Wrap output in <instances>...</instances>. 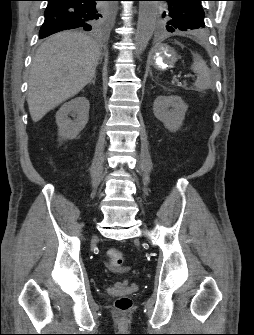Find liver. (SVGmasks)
<instances>
[{"instance_id":"1","label":"liver","mask_w":254,"mask_h":335,"mask_svg":"<svg viewBox=\"0 0 254 335\" xmlns=\"http://www.w3.org/2000/svg\"><path fill=\"white\" fill-rule=\"evenodd\" d=\"M100 46L90 36L64 31L44 41L33 57L27 103L34 122L77 95L93 79Z\"/></svg>"}]
</instances>
